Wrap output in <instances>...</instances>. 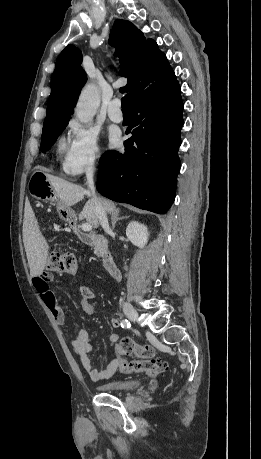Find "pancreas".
Here are the masks:
<instances>
[{"label": "pancreas", "mask_w": 261, "mask_h": 459, "mask_svg": "<svg viewBox=\"0 0 261 459\" xmlns=\"http://www.w3.org/2000/svg\"><path fill=\"white\" fill-rule=\"evenodd\" d=\"M100 249H101L100 245L98 243H95V245H94V253L97 256H101Z\"/></svg>", "instance_id": "obj_1"}]
</instances>
